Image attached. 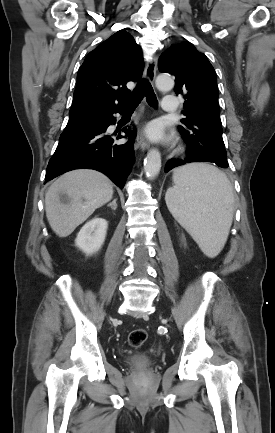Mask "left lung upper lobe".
Listing matches in <instances>:
<instances>
[{"instance_id":"obj_1","label":"left lung upper lobe","mask_w":275,"mask_h":433,"mask_svg":"<svg viewBox=\"0 0 275 433\" xmlns=\"http://www.w3.org/2000/svg\"><path fill=\"white\" fill-rule=\"evenodd\" d=\"M159 70L175 76V91L186 99L179 131L189 158L227 168L222 139L216 73L207 57L193 44L172 45L159 59Z\"/></svg>"}]
</instances>
